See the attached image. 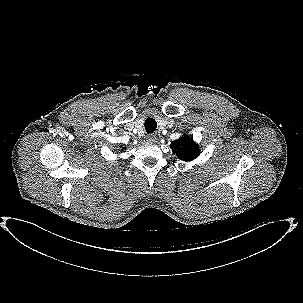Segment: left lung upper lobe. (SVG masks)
<instances>
[{"mask_svg":"<svg viewBox=\"0 0 303 303\" xmlns=\"http://www.w3.org/2000/svg\"><path fill=\"white\" fill-rule=\"evenodd\" d=\"M173 153L182 160L191 161L198 157L200 150L193 137L184 136L170 144Z\"/></svg>","mask_w":303,"mask_h":303,"instance_id":"1","label":"left lung upper lobe"}]
</instances>
